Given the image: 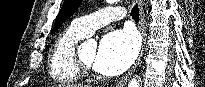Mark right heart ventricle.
I'll return each mask as SVG.
<instances>
[{"mask_svg":"<svg viewBox=\"0 0 205 87\" xmlns=\"http://www.w3.org/2000/svg\"><path fill=\"white\" fill-rule=\"evenodd\" d=\"M85 37L70 26L56 38L49 59V75L54 82L72 84L80 80L74 51L77 43Z\"/></svg>","mask_w":205,"mask_h":87,"instance_id":"1","label":"right heart ventricle"}]
</instances>
